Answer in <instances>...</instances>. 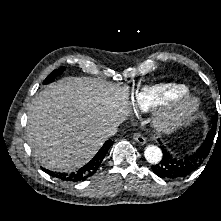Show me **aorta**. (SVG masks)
Here are the masks:
<instances>
[{
	"label": "aorta",
	"mask_w": 221,
	"mask_h": 221,
	"mask_svg": "<svg viewBox=\"0 0 221 221\" xmlns=\"http://www.w3.org/2000/svg\"><path fill=\"white\" fill-rule=\"evenodd\" d=\"M145 159L151 164H157L162 159V151L155 145H149L144 150Z\"/></svg>",
	"instance_id": "1"
}]
</instances>
